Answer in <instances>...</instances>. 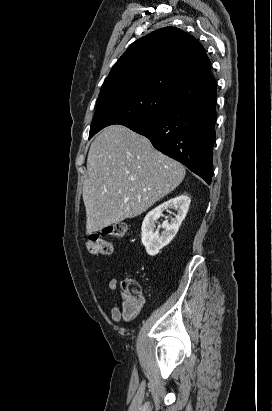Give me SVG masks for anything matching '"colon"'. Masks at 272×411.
Segmentation results:
<instances>
[{
  "mask_svg": "<svg viewBox=\"0 0 272 411\" xmlns=\"http://www.w3.org/2000/svg\"><path fill=\"white\" fill-rule=\"evenodd\" d=\"M127 231L125 222H114L106 225L98 232L89 234L86 247L92 254L109 255L113 245L109 238L122 237ZM122 314L126 320H131L138 314L142 305V290L133 278H126L121 283Z\"/></svg>",
  "mask_w": 272,
  "mask_h": 411,
  "instance_id": "obj_1",
  "label": "colon"
}]
</instances>
